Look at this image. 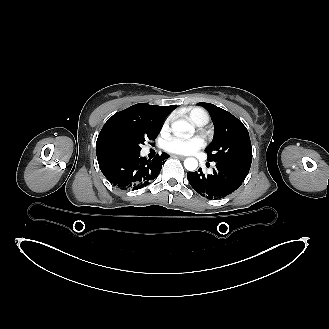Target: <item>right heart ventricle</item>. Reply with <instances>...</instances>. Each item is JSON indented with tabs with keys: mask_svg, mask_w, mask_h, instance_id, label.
<instances>
[{
	"mask_svg": "<svg viewBox=\"0 0 329 329\" xmlns=\"http://www.w3.org/2000/svg\"><path fill=\"white\" fill-rule=\"evenodd\" d=\"M188 118L197 125H204L209 121V114L202 108H192L188 112Z\"/></svg>",
	"mask_w": 329,
	"mask_h": 329,
	"instance_id": "1",
	"label": "right heart ventricle"
}]
</instances>
